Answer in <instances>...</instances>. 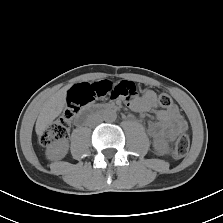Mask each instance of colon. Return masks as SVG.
Listing matches in <instances>:
<instances>
[{"label":"colon","instance_id":"colon-1","mask_svg":"<svg viewBox=\"0 0 223 223\" xmlns=\"http://www.w3.org/2000/svg\"><path fill=\"white\" fill-rule=\"evenodd\" d=\"M137 94V86L131 81H121L112 84L109 81L85 82L72 86L67 93L66 109L63 116L51 124L41 137V143L48 145L54 141L65 139L72 120L80 108L98 97L109 95L111 99L123 101L131 100ZM158 104L164 108L172 105V99L167 94L158 96ZM190 147V138L187 133L177 137L173 155L175 158L185 156Z\"/></svg>","mask_w":223,"mask_h":223}]
</instances>
